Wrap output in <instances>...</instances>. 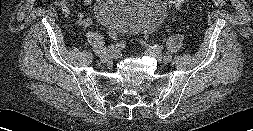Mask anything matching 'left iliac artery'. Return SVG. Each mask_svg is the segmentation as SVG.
Wrapping results in <instances>:
<instances>
[{"label": "left iliac artery", "instance_id": "1", "mask_svg": "<svg viewBox=\"0 0 253 131\" xmlns=\"http://www.w3.org/2000/svg\"><path fill=\"white\" fill-rule=\"evenodd\" d=\"M157 50H161L163 47L162 46H160V45H155L154 46Z\"/></svg>", "mask_w": 253, "mask_h": 131}]
</instances>
